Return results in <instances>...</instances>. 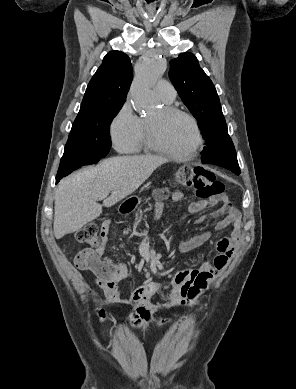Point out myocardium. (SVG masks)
I'll list each match as a JSON object with an SVG mask.
<instances>
[{
    "mask_svg": "<svg viewBox=\"0 0 296 389\" xmlns=\"http://www.w3.org/2000/svg\"><path fill=\"white\" fill-rule=\"evenodd\" d=\"M162 109H163V112L165 114L179 115V116H183L186 119H188L190 121V123L192 124L193 129H194L195 141H194V144L192 145V147L188 151H186L184 153H176V152L164 147L161 143L158 142V140L156 139V137L154 135V132H153V129H152L150 123L148 121H146V124H145V126H146V139H147V144H148L149 148L160 153V154H163L167 157L173 158L175 160L187 161V160L192 159L193 157L196 156V154L198 153V151L200 150V148L203 144V135H202V131H201V128L199 126L197 119L191 113H189L181 108L172 106V105H165Z\"/></svg>",
    "mask_w": 296,
    "mask_h": 389,
    "instance_id": "f54148a6",
    "label": "myocardium"
}]
</instances>
